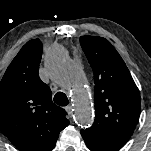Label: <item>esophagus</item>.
Masks as SVG:
<instances>
[{"label":"esophagus","mask_w":151,"mask_h":151,"mask_svg":"<svg viewBox=\"0 0 151 151\" xmlns=\"http://www.w3.org/2000/svg\"><path fill=\"white\" fill-rule=\"evenodd\" d=\"M65 110L67 111V113H68L69 115L72 114V107H71L70 105L67 106V107H65Z\"/></svg>","instance_id":"esophagus-1"}]
</instances>
